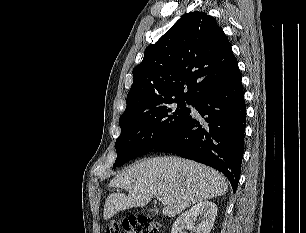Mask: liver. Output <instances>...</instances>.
Wrapping results in <instances>:
<instances>
[{
    "instance_id": "obj_1",
    "label": "liver",
    "mask_w": 306,
    "mask_h": 233,
    "mask_svg": "<svg viewBox=\"0 0 306 233\" xmlns=\"http://www.w3.org/2000/svg\"><path fill=\"white\" fill-rule=\"evenodd\" d=\"M109 187L129 193H112L107 197L104 220L122 210L145 206L154 195L168 199L163 214L174 217L192 204L223 196L228 183L221 173L208 166L171 156L141 160L115 176Z\"/></svg>"
}]
</instances>
